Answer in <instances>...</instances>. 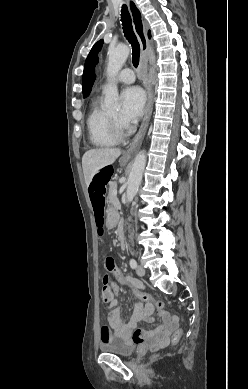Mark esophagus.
Returning a JSON list of instances; mask_svg holds the SVG:
<instances>
[{
	"instance_id": "1",
	"label": "esophagus",
	"mask_w": 248,
	"mask_h": 389,
	"mask_svg": "<svg viewBox=\"0 0 248 389\" xmlns=\"http://www.w3.org/2000/svg\"><path fill=\"white\" fill-rule=\"evenodd\" d=\"M127 3H128L131 17H132L134 31H135V33L138 37L139 43H140L142 56L150 55L152 50H151V46H150L149 40H148L147 35H146V26H145V23L143 21V16H142L141 10L139 9L138 5L136 4V2L134 0H127ZM146 90H147L148 99H147V105H146V109H145V116H144V119L142 121V124L140 126L138 133L136 134L134 140L129 145L126 153L123 156L124 159L129 158L130 153L136 147L138 142L143 138V136L146 132V129L148 127L149 119H150V116L152 113V97H153L152 92L153 91H152L151 84H146Z\"/></svg>"
}]
</instances>
